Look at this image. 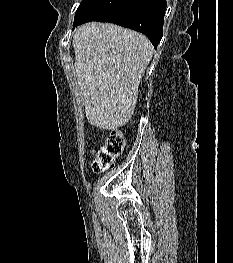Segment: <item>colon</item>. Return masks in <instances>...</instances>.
I'll list each match as a JSON object with an SVG mask.
<instances>
[{"mask_svg":"<svg viewBox=\"0 0 233 263\" xmlns=\"http://www.w3.org/2000/svg\"><path fill=\"white\" fill-rule=\"evenodd\" d=\"M125 145L126 139L120 129L109 130L104 144L100 147L92 163V170L99 173L111 168L115 159L122 154Z\"/></svg>","mask_w":233,"mask_h":263,"instance_id":"5ec220e1","label":"colon"}]
</instances>
